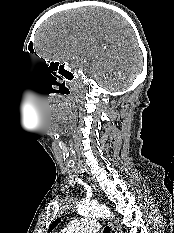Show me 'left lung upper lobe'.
Masks as SVG:
<instances>
[{"label":"left lung upper lobe","instance_id":"left-lung-upper-lobe-1","mask_svg":"<svg viewBox=\"0 0 174 233\" xmlns=\"http://www.w3.org/2000/svg\"><path fill=\"white\" fill-rule=\"evenodd\" d=\"M60 221H61V218L56 219V220L51 224V226H50V228H49V230H48V233H50V232L54 229V227H56V225H57Z\"/></svg>","mask_w":174,"mask_h":233}]
</instances>
